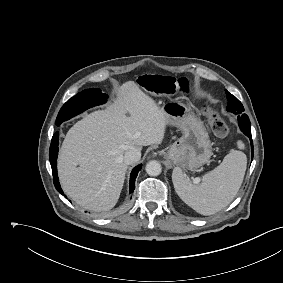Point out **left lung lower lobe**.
Instances as JSON below:
<instances>
[{
    "label": "left lung lower lobe",
    "mask_w": 283,
    "mask_h": 283,
    "mask_svg": "<svg viewBox=\"0 0 283 283\" xmlns=\"http://www.w3.org/2000/svg\"><path fill=\"white\" fill-rule=\"evenodd\" d=\"M238 123L241 131L250 138L251 142V149H252V157H253V141L251 137V123L249 118L246 114H239L238 115Z\"/></svg>",
    "instance_id": "left-lung-lower-lobe-1"
}]
</instances>
